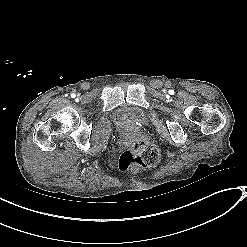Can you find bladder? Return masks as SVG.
I'll use <instances>...</instances> for the list:
<instances>
[{
    "instance_id": "obj_1",
    "label": "bladder",
    "mask_w": 247,
    "mask_h": 247,
    "mask_svg": "<svg viewBox=\"0 0 247 247\" xmlns=\"http://www.w3.org/2000/svg\"><path fill=\"white\" fill-rule=\"evenodd\" d=\"M148 116V112L143 107L131 103L117 105L109 112L113 128L126 135L146 127Z\"/></svg>"
}]
</instances>
